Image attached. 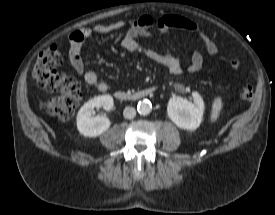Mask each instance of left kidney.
<instances>
[{"mask_svg": "<svg viewBox=\"0 0 275 215\" xmlns=\"http://www.w3.org/2000/svg\"><path fill=\"white\" fill-rule=\"evenodd\" d=\"M193 102L182 97H172L167 105L171 121L181 129L195 130L202 121L204 102L198 92H193Z\"/></svg>", "mask_w": 275, "mask_h": 215, "instance_id": "1", "label": "left kidney"}]
</instances>
